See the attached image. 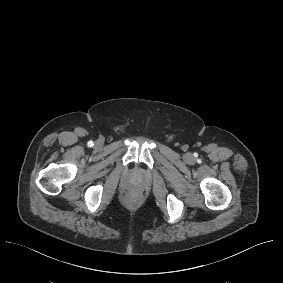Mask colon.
<instances>
[{"label":"colon","instance_id":"1","mask_svg":"<svg viewBox=\"0 0 283 283\" xmlns=\"http://www.w3.org/2000/svg\"><path fill=\"white\" fill-rule=\"evenodd\" d=\"M135 199H136V198H135L134 196H130V197H129V200L132 201V202L135 201Z\"/></svg>","mask_w":283,"mask_h":283}]
</instances>
